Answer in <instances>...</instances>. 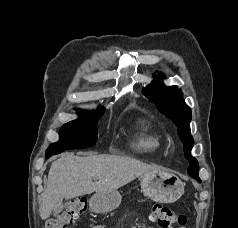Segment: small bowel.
I'll return each mask as SVG.
<instances>
[{
  "label": "small bowel",
  "mask_w": 238,
  "mask_h": 228,
  "mask_svg": "<svg viewBox=\"0 0 238 228\" xmlns=\"http://www.w3.org/2000/svg\"><path fill=\"white\" fill-rule=\"evenodd\" d=\"M149 220H151V218H149ZM91 228H104V227L101 226V225L94 224V225L91 226ZM148 228H153V227L149 226Z\"/></svg>",
  "instance_id": "small-bowel-1"
}]
</instances>
